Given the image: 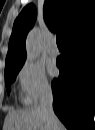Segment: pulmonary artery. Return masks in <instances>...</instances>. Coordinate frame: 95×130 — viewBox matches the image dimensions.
<instances>
[{
	"instance_id": "pulmonary-artery-1",
	"label": "pulmonary artery",
	"mask_w": 95,
	"mask_h": 130,
	"mask_svg": "<svg viewBox=\"0 0 95 130\" xmlns=\"http://www.w3.org/2000/svg\"><path fill=\"white\" fill-rule=\"evenodd\" d=\"M48 50H49V53L52 54V55H57L59 53L58 46L56 45L54 40L49 45Z\"/></svg>"
}]
</instances>
